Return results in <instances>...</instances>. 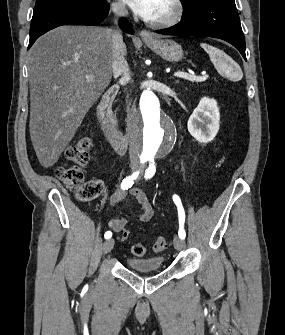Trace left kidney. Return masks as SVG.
<instances>
[{
    "mask_svg": "<svg viewBox=\"0 0 285 335\" xmlns=\"http://www.w3.org/2000/svg\"><path fill=\"white\" fill-rule=\"evenodd\" d=\"M220 112L216 100L201 98L188 120V130L200 144H209L219 130Z\"/></svg>",
    "mask_w": 285,
    "mask_h": 335,
    "instance_id": "1",
    "label": "left kidney"
}]
</instances>
